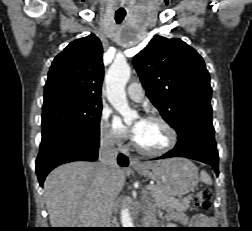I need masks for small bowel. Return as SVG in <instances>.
<instances>
[{
	"label": "small bowel",
	"mask_w": 252,
	"mask_h": 231,
	"mask_svg": "<svg viewBox=\"0 0 252 231\" xmlns=\"http://www.w3.org/2000/svg\"><path fill=\"white\" fill-rule=\"evenodd\" d=\"M172 217L184 224L185 226L193 228L207 226L210 222V219L204 214H196L191 219H188L183 213L175 212L172 214Z\"/></svg>",
	"instance_id": "1"
}]
</instances>
